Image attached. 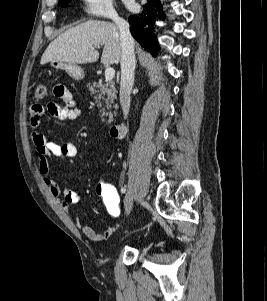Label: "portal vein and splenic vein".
I'll list each match as a JSON object with an SVG mask.
<instances>
[{"label":"portal vein and splenic vein","instance_id":"obj_1","mask_svg":"<svg viewBox=\"0 0 267 301\" xmlns=\"http://www.w3.org/2000/svg\"><path fill=\"white\" fill-rule=\"evenodd\" d=\"M114 76H115V70L112 67H107L105 70L106 81H111L114 78Z\"/></svg>","mask_w":267,"mask_h":301}]
</instances>
